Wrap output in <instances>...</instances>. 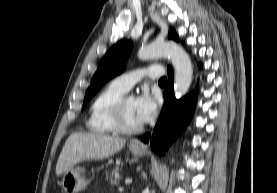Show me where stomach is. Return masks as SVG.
Wrapping results in <instances>:
<instances>
[{
  "mask_svg": "<svg viewBox=\"0 0 277 193\" xmlns=\"http://www.w3.org/2000/svg\"><path fill=\"white\" fill-rule=\"evenodd\" d=\"M129 147L134 155L141 156L145 152L144 148L137 147L134 143H131ZM84 172V168L76 167L64 173L61 185L66 193H79L86 188L88 180Z\"/></svg>",
  "mask_w": 277,
  "mask_h": 193,
  "instance_id": "1",
  "label": "stomach"
}]
</instances>
